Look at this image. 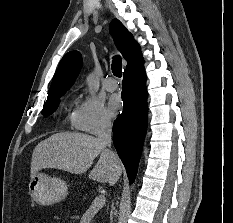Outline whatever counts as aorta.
I'll use <instances>...</instances> for the list:
<instances>
[{
  "mask_svg": "<svg viewBox=\"0 0 233 223\" xmlns=\"http://www.w3.org/2000/svg\"><path fill=\"white\" fill-rule=\"evenodd\" d=\"M87 86L90 92H98L100 88V82L94 74H89L88 78H86Z\"/></svg>",
  "mask_w": 233,
  "mask_h": 223,
  "instance_id": "aorta-1",
  "label": "aorta"
}]
</instances>
